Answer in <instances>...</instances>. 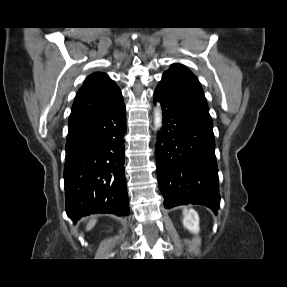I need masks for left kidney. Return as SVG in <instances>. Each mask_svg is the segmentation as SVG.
Listing matches in <instances>:
<instances>
[{"instance_id":"left-kidney-1","label":"left kidney","mask_w":287,"mask_h":287,"mask_svg":"<svg viewBox=\"0 0 287 287\" xmlns=\"http://www.w3.org/2000/svg\"><path fill=\"white\" fill-rule=\"evenodd\" d=\"M183 225L190 232L197 234L199 232V216L198 213L193 210L183 211Z\"/></svg>"}]
</instances>
